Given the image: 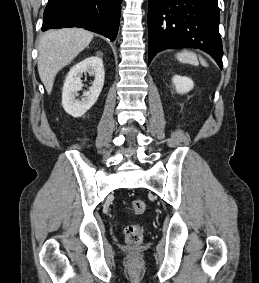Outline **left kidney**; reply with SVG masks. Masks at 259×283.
<instances>
[{"label":"left kidney","mask_w":259,"mask_h":283,"mask_svg":"<svg viewBox=\"0 0 259 283\" xmlns=\"http://www.w3.org/2000/svg\"><path fill=\"white\" fill-rule=\"evenodd\" d=\"M172 82L176 91L180 94L187 93L194 87V83L190 78L180 75H175Z\"/></svg>","instance_id":"obj_1"}]
</instances>
